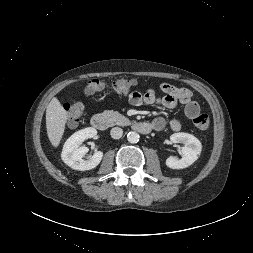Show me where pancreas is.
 <instances>
[{"label":"pancreas","instance_id":"obj_1","mask_svg":"<svg viewBox=\"0 0 253 253\" xmlns=\"http://www.w3.org/2000/svg\"><path fill=\"white\" fill-rule=\"evenodd\" d=\"M103 115L107 118L111 125H125L129 123V119L117 111L105 110Z\"/></svg>","mask_w":253,"mask_h":253}]
</instances>
